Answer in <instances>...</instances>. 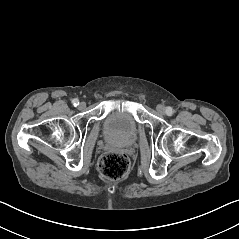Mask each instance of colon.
I'll return each instance as SVG.
<instances>
[{"instance_id": "1", "label": "colon", "mask_w": 239, "mask_h": 239, "mask_svg": "<svg viewBox=\"0 0 239 239\" xmlns=\"http://www.w3.org/2000/svg\"><path fill=\"white\" fill-rule=\"evenodd\" d=\"M129 168V158L120 152H108L101 157L99 162L101 174L111 180L124 177Z\"/></svg>"}]
</instances>
